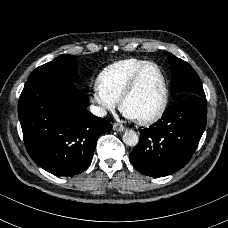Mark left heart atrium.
I'll list each match as a JSON object with an SVG mask.
<instances>
[{
    "label": "left heart atrium",
    "mask_w": 228,
    "mask_h": 228,
    "mask_svg": "<svg viewBox=\"0 0 228 228\" xmlns=\"http://www.w3.org/2000/svg\"><path fill=\"white\" fill-rule=\"evenodd\" d=\"M130 118H133L132 116L128 115Z\"/></svg>",
    "instance_id": "left-heart-atrium-1"
}]
</instances>
